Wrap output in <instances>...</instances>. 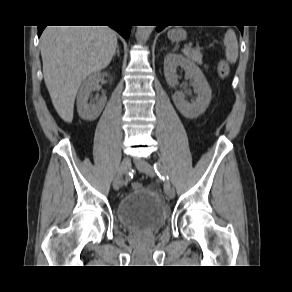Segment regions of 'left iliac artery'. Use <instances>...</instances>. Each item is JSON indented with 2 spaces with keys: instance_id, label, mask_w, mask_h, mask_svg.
Returning <instances> with one entry per match:
<instances>
[{
  "instance_id": "1",
  "label": "left iliac artery",
  "mask_w": 292,
  "mask_h": 292,
  "mask_svg": "<svg viewBox=\"0 0 292 292\" xmlns=\"http://www.w3.org/2000/svg\"><path fill=\"white\" fill-rule=\"evenodd\" d=\"M154 169L160 179L164 182V190L167 191L171 186L169 182V177L165 171V168L160 163L154 164Z\"/></svg>"
}]
</instances>
